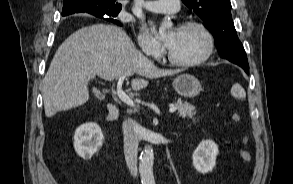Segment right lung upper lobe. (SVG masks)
Listing matches in <instances>:
<instances>
[{"label": "right lung upper lobe", "mask_w": 293, "mask_h": 184, "mask_svg": "<svg viewBox=\"0 0 293 184\" xmlns=\"http://www.w3.org/2000/svg\"><path fill=\"white\" fill-rule=\"evenodd\" d=\"M122 8L119 0H64L62 15L87 12L102 18L98 12L101 10H116ZM106 15V14H105ZM107 16V15H106Z\"/></svg>", "instance_id": "obj_1"}]
</instances>
